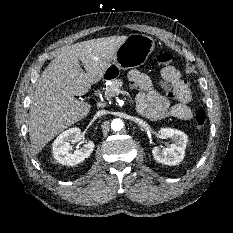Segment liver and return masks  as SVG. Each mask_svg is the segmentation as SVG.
I'll return each mask as SVG.
<instances>
[{
	"label": "liver",
	"mask_w": 233,
	"mask_h": 233,
	"mask_svg": "<svg viewBox=\"0 0 233 233\" xmlns=\"http://www.w3.org/2000/svg\"><path fill=\"white\" fill-rule=\"evenodd\" d=\"M126 38L111 36L64 47L45 68L29 111L28 131L33 155L64 129L89 114L91 105L74 96L85 95L91 85L103 78Z\"/></svg>",
	"instance_id": "liver-1"
}]
</instances>
